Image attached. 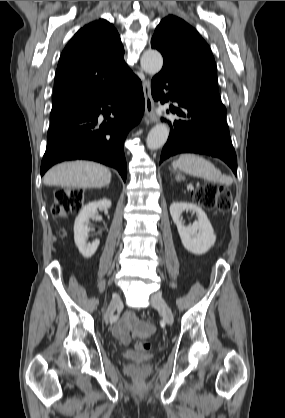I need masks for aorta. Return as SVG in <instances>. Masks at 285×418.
Masks as SVG:
<instances>
[{"instance_id":"obj_1","label":"aorta","mask_w":285,"mask_h":418,"mask_svg":"<svg viewBox=\"0 0 285 418\" xmlns=\"http://www.w3.org/2000/svg\"><path fill=\"white\" fill-rule=\"evenodd\" d=\"M143 71L150 75L157 74L163 66L162 55L156 50H146L140 60ZM169 127L164 123L154 126L147 136V147L150 150L161 148L169 136Z\"/></svg>"}]
</instances>
